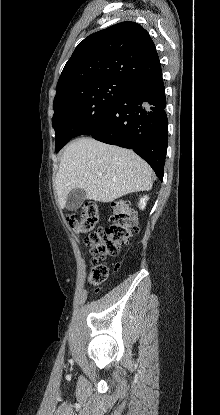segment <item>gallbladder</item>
<instances>
[{
	"label": "gallbladder",
	"instance_id": "bac80fb5",
	"mask_svg": "<svg viewBox=\"0 0 220 415\" xmlns=\"http://www.w3.org/2000/svg\"><path fill=\"white\" fill-rule=\"evenodd\" d=\"M86 193L83 189L75 188L71 190L66 199V209L69 211L77 210L85 201Z\"/></svg>",
	"mask_w": 220,
	"mask_h": 415
}]
</instances>
